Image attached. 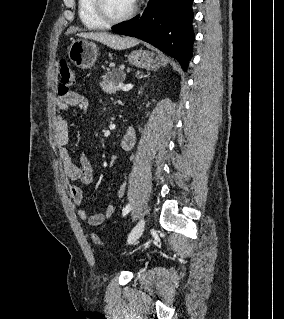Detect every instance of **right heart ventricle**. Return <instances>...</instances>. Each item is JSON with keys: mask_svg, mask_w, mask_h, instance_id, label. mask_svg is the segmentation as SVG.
<instances>
[{"mask_svg": "<svg viewBox=\"0 0 284 319\" xmlns=\"http://www.w3.org/2000/svg\"><path fill=\"white\" fill-rule=\"evenodd\" d=\"M78 15L82 24L91 30L103 29L107 24L96 14L93 0H78Z\"/></svg>", "mask_w": 284, "mask_h": 319, "instance_id": "1", "label": "right heart ventricle"}]
</instances>
